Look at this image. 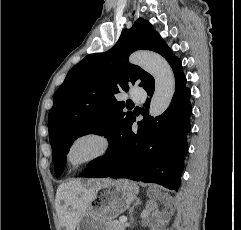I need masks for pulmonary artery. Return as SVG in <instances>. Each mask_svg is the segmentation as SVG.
<instances>
[{
    "label": "pulmonary artery",
    "instance_id": "e3ab8cb5",
    "mask_svg": "<svg viewBox=\"0 0 241 230\" xmlns=\"http://www.w3.org/2000/svg\"><path fill=\"white\" fill-rule=\"evenodd\" d=\"M146 93L141 88H136L130 92V98L135 102H141L144 100Z\"/></svg>",
    "mask_w": 241,
    "mask_h": 230
}]
</instances>
